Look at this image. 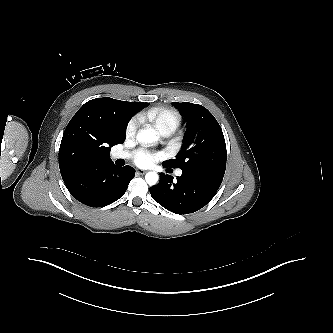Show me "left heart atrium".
<instances>
[{"instance_id": "obj_1", "label": "left heart atrium", "mask_w": 333, "mask_h": 333, "mask_svg": "<svg viewBox=\"0 0 333 333\" xmlns=\"http://www.w3.org/2000/svg\"><path fill=\"white\" fill-rule=\"evenodd\" d=\"M161 154L139 149L134 153V162L141 167H147L160 158Z\"/></svg>"}]
</instances>
